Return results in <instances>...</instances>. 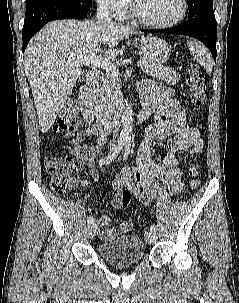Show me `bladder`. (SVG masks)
Instances as JSON below:
<instances>
[{"instance_id":"obj_1","label":"bladder","mask_w":239,"mask_h":303,"mask_svg":"<svg viewBox=\"0 0 239 303\" xmlns=\"http://www.w3.org/2000/svg\"><path fill=\"white\" fill-rule=\"evenodd\" d=\"M99 255L117 266L138 263L145 255L143 239L137 234L121 235L98 245Z\"/></svg>"}]
</instances>
